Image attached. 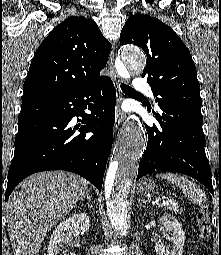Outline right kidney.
I'll use <instances>...</instances> for the list:
<instances>
[{"mask_svg": "<svg viewBox=\"0 0 221 255\" xmlns=\"http://www.w3.org/2000/svg\"><path fill=\"white\" fill-rule=\"evenodd\" d=\"M90 226L89 216L85 213H77L72 217L62 221L53 231L49 245L48 255H59L63 247L71 235L77 230L87 231ZM75 255V253H70Z\"/></svg>", "mask_w": 221, "mask_h": 255, "instance_id": "ca27d5eb", "label": "right kidney"}]
</instances>
